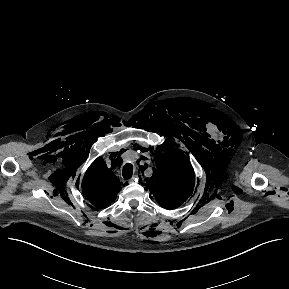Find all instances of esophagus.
Wrapping results in <instances>:
<instances>
[{
    "label": "esophagus",
    "mask_w": 289,
    "mask_h": 289,
    "mask_svg": "<svg viewBox=\"0 0 289 289\" xmlns=\"http://www.w3.org/2000/svg\"><path fill=\"white\" fill-rule=\"evenodd\" d=\"M139 177H138V174L134 175L132 180L130 182H133V181H138Z\"/></svg>",
    "instance_id": "obj_1"
}]
</instances>
